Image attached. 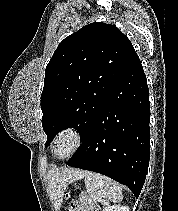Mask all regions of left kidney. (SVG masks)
<instances>
[{
	"mask_svg": "<svg viewBox=\"0 0 178 211\" xmlns=\"http://www.w3.org/2000/svg\"><path fill=\"white\" fill-rule=\"evenodd\" d=\"M103 211H129L128 206L113 205L105 207Z\"/></svg>",
	"mask_w": 178,
	"mask_h": 211,
	"instance_id": "left-kidney-1",
	"label": "left kidney"
}]
</instances>
